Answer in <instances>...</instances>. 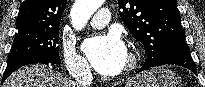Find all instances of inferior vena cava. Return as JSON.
<instances>
[{
	"instance_id": "obj_1",
	"label": "inferior vena cava",
	"mask_w": 205,
	"mask_h": 87,
	"mask_svg": "<svg viewBox=\"0 0 205 87\" xmlns=\"http://www.w3.org/2000/svg\"><path fill=\"white\" fill-rule=\"evenodd\" d=\"M75 79L81 85V87H90L93 76L90 72V69L84 66L75 73Z\"/></svg>"
}]
</instances>
